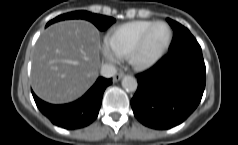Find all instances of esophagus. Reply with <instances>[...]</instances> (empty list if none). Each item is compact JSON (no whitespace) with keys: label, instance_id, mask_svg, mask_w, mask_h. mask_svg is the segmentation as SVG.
<instances>
[{"label":"esophagus","instance_id":"obj_1","mask_svg":"<svg viewBox=\"0 0 238 145\" xmlns=\"http://www.w3.org/2000/svg\"><path fill=\"white\" fill-rule=\"evenodd\" d=\"M124 76V74L123 73H117L116 75H114V77H113V81L114 82H117V81H119L122 77Z\"/></svg>","mask_w":238,"mask_h":145}]
</instances>
